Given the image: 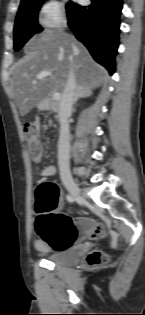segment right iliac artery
<instances>
[{"label":"right iliac artery","instance_id":"82829eb1","mask_svg":"<svg viewBox=\"0 0 145 315\" xmlns=\"http://www.w3.org/2000/svg\"><path fill=\"white\" fill-rule=\"evenodd\" d=\"M66 199H67L69 202H73V201H74V198H73L71 195H67V196H66Z\"/></svg>","mask_w":145,"mask_h":315}]
</instances>
